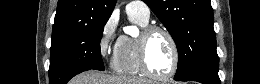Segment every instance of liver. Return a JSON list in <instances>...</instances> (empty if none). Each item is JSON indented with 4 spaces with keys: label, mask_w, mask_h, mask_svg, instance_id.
<instances>
[{
    "label": "liver",
    "mask_w": 260,
    "mask_h": 84,
    "mask_svg": "<svg viewBox=\"0 0 260 84\" xmlns=\"http://www.w3.org/2000/svg\"><path fill=\"white\" fill-rule=\"evenodd\" d=\"M73 84H151V81L140 77L110 76L91 70L79 74Z\"/></svg>",
    "instance_id": "1"
}]
</instances>
